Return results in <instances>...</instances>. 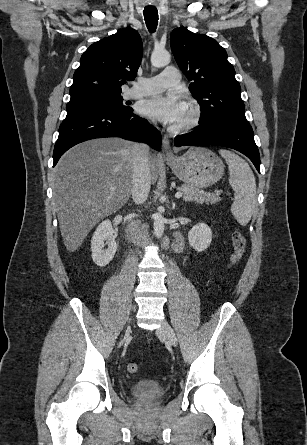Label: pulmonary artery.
I'll list each match as a JSON object with an SVG mask.
<instances>
[{"label": "pulmonary artery", "mask_w": 307, "mask_h": 445, "mask_svg": "<svg viewBox=\"0 0 307 445\" xmlns=\"http://www.w3.org/2000/svg\"><path fill=\"white\" fill-rule=\"evenodd\" d=\"M141 80L143 81L137 82V88L130 86L128 91L130 97L147 96L158 93L173 84H177L180 81V76L178 70L170 66L160 71L147 73ZM151 80H160L161 82Z\"/></svg>", "instance_id": "e3ab8cb5"}]
</instances>
